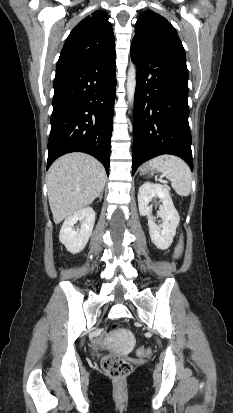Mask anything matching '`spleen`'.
<instances>
[{"instance_id": "1", "label": "spleen", "mask_w": 233, "mask_h": 413, "mask_svg": "<svg viewBox=\"0 0 233 413\" xmlns=\"http://www.w3.org/2000/svg\"><path fill=\"white\" fill-rule=\"evenodd\" d=\"M149 166L161 172L178 195L183 197L190 194L191 171L180 158L171 155L158 156L149 162Z\"/></svg>"}]
</instances>
